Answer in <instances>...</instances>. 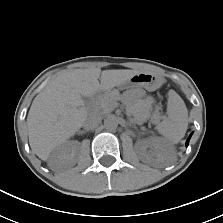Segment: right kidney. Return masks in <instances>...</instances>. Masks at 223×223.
<instances>
[{
  "label": "right kidney",
  "mask_w": 223,
  "mask_h": 223,
  "mask_svg": "<svg viewBox=\"0 0 223 223\" xmlns=\"http://www.w3.org/2000/svg\"><path fill=\"white\" fill-rule=\"evenodd\" d=\"M77 149L76 141H67L59 145L50 156L49 166L53 169L73 166Z\"/></svg>",
  "instance_id": "right-kidney-1"
}]
</instances>
